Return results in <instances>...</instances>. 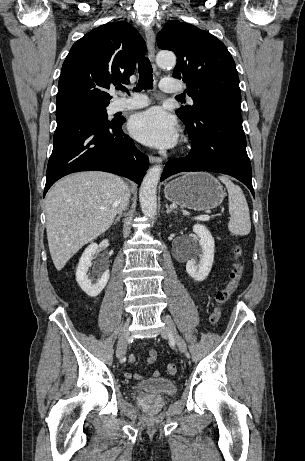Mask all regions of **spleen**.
Wrapping results in <instances>:
<instances>
[{"label": "spleen", "mask_w": 305, "mask_h": 461, "mask_svg": "<svg viewBox=\"0 0 305 461\" xmlns=\"http://www.w3.org/2000/svg\"><path fill=\"white\" fill-rule=\"evenodd\" d=\"M218 178L225 184L228 191V206L231 216L228 223L229 231L234 235H248L251 230V221L248 204L243 191L228 177L219 176Z\"/></svg>", "instance_id": "obj_1"}]
</instances>
